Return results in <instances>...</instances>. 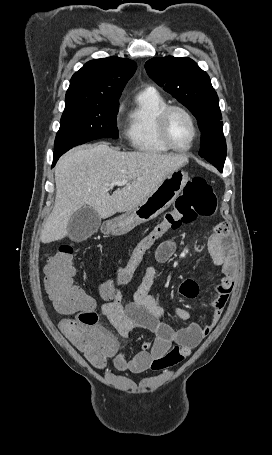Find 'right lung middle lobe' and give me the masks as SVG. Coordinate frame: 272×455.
I'll return each instance as SVG.
<instances>
[{
    "label": "right lung middle lobe",
    "instance_id": "dd1d6c3e",
    "mask_svg": "<svg viewBox=\"0 0 272 455\" xmlns=\"http://www.w3.org/2000/svg\"><path fill=\"white\" fill-rule=\"evenodd\" d=\"M119 102L108 104H66L55 139L54 153L99 138H118L116 117Z\"/></svg>",
    "mask_w": 272,
    "mask_h": 455
}]
</instances>
